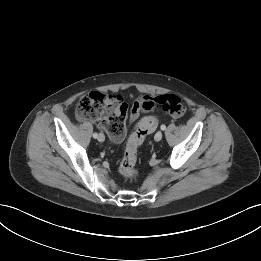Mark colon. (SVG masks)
<instances>
[{
  "label": "colon",
  "instance_id": "1",
  "mask_svg": "<svg viewBox=\"0 0 261 261\" xmlns=\"http://www.w3.org/2000/svg\"><path fill=\"white\" fill-rule=\"evenodd\" d=\"M145 106L152 110L160 107L172 117H181L186 112V107L181 98L173 94L156 96ZM127 111L126 103L119 96L101 92H91L82 96L76 107V114L80 120L100 119L101 128L116 143L127 136L128 132L125 128ZM156 126L157 121L154 117H145L136 124L119 164V172L123 177L131 180L137 177L138 149L146 136L153 132Z\"/></svg>",
  "mask_w": 261,
  "mask_h": 261
}]
</instances>
